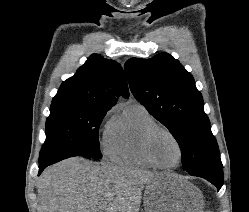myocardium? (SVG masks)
I'll return each mask as SVG.
<instances>
[{"instance_id":"myocardium-1","label":"myocardium","mask_w":249,"mask_h":212,"mask_svg":"<svg viewBox=\"0 0 249 212\" xmlns=\"http://www.w3.org/2000/svg\"><path fill=\"white\" fill-rule=\"evenodd\" d=\"M159 134H166L175 142V144L178 148V151H179V159H178L177 163H175L173 165L162 164L154 156L152 145H153L154 139ZM142 148H143L144 155L146 156L148 161L151 164H153L155 167H158L161 169H175L182 163L183 158H184V149H183L181 142L177 138V136L169 129L162 127V126H158V125L149 128L145 132L144 137H143V141H142Z\"/></svg>"}]
</instances>
